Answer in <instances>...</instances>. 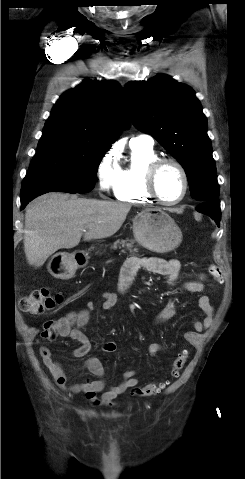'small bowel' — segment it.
Segmentation results:
<instances>
[{
    "label": "small bowel",
    "instance_id": "c3829d8e",
    "mask_svg": "<svg viewBox=\"0 0 245 479\" xmlns=\"http://www.w3.org/2000/svg\"><path fill=\"white\" fill-rule=\"evenodd\" d=\"M145 269L149 272L159 274L166 278L167 283L173 286L178 281L181 264L177 259L165 260L157 257H136L132 256L124 262L119 277L118 292H105L103 294L102 309L111 310L120 304V298L126 294L133 285L135 277L139 270ZM203 278V277H201ZM181 289L186 292L200 293L204 289L201 281H185L181 285ZM199 307L203 313V320L194 322V332H187L186 338L192 339L195 333H200L208 329L215 319V308L207 295H201L198 299ZM96 309L94 303H88L83 310L68 313L64 317L56 321L61 326V337H68L76 341L79 345L73 350V357L82 358L91 350V342L83 331L89 319L90 313ZM175 314V304L169 301L165 308L158 314L156 318L157 324H162L172 318ZM103 350L113 353L117 350V344L108 341L103 344ZM165 350L161 343L153 342L148 347L150 356ZM40 356L50 370L57 385L64 391L71 393H82L94 405H110L119 395L125 393L129 389L138 384L135 377V371L128 370L123 373L122 381L114 387L105 390L106 382L104 380V368L100 360L96 357H90L84 364V367L97 377L95 380H86L83 383L69 386L67 384L68 377L63 366L53 358L50 348L46 345L40 347ZM100 395V397H98Z\"/></svg>",
    "mask_w": 245,
    "mask_h": 479
}]
</instances>
